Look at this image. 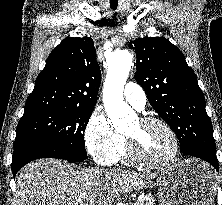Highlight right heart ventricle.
I'll return each instance as SVG.
<instances>
[{"instance_id": "e07e8e85", "label": "right heart ventricle", "mask_w": 222, "mask_h": 205, "mask_svg": "<svg viewBox=\"0 0 222 205\" xmlns=\"http://www.w3.org/2000/svg\"><path fill=\"white\" fill-rule=\"evenodd\" d=\"M118 162L121 163H130L132 162V159L130 158L129 152H128V144L127 141L124 138V142L122 144V147L119 151V153L114 158L113 162L111 164H116Z\"/></svg>"}]
</instances>
